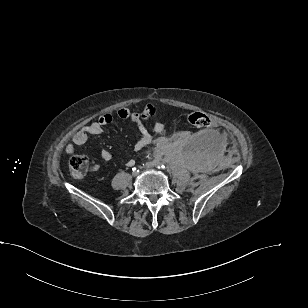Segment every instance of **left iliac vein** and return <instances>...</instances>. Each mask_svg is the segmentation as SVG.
I'll use <instances>...</instances> for the list:
<instances>
[{
	"label": "left iliac vein",
	"instance_id": "1",
	"mask_svg": "<svg viewBox=\"0 0 308 308\" xmlns=\"http://www.w3.org/2000/svg\"><path fill=\"white\" fill-rule=\"evenodd\" d=\"M152 167H153V166H152L151 164H147V165H146V168H147V169H151Z\"/></svg>",
	"mask_w": 308,
	"mask_h": 308
}]
</instances>
